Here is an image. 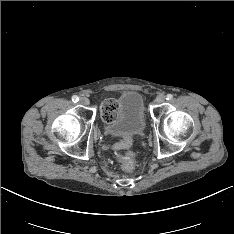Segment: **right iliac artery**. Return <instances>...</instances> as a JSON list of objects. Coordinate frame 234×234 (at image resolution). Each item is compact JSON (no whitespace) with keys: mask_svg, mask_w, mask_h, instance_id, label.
Wrapping results in <instances>:
<instances>
[{"mask_svg":"<svg viewBox=\"0 0 234 234\" xmlns=\"http://www.w3.org/2000/svg\"><path fill=\"white\" fill-rule=\"evenodd\" d=\"M78 100H79V97H78V96H76V95H73V96H72V101H73V102H78Z\"/></svg>","mask_w":234,"mask_h":234,"instance_id":"82829eb1","label":"right iliac artery"}]
</instances>
